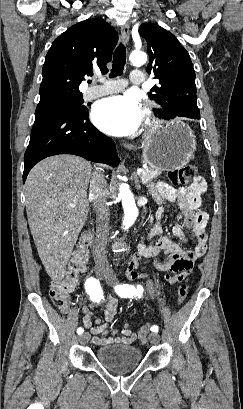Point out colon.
<instances>
[{"instance_id":"obj_1","label":"colon","mask_w":243,"mask_h":409,"mask_svg":"<svg viewBox=\"0 0 243 409\" xmlns=\"http://www.w3.org/2000/svg\"><path fill=\"white\" fill-rule=\"evenodd\" d=\"M196 167L186 165L168 172L169 180L174 184L188 185L195 180ZM91 237L84 234L78 240L77 246L68 262L66 276L61 280H54L50 284L49 295L53 304L63 312H66L70 305L69 296L76 287L80 275L85 271ZM188 294L186 285H181L177 289V304L184 302ZM150 331V325L146 324L138 332L140 340L146 339Z\"/></svg>"}]
</instances>
